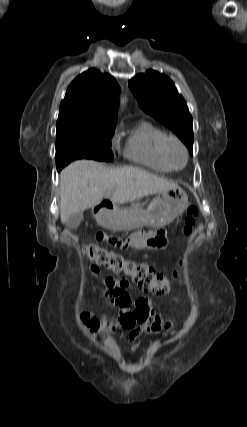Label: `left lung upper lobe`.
Listing matches in <instances>:
<instances>
[{"label": "left lung upper lobe", "instance_id": "1", "mask_svg": "<svg viewBox=\"0 0 247 427\" xmlns=\"http://www.w3.org/2000/svg\"><path fill=\"white\" fill-rule=\"evenodd\" d=\"M129 85L140 107L174 131L192 154V116L171 79L157 71L149 70L132 78Z\"/></svg>", "mask_w": 247, "mask_h": 427}]
</instances>
